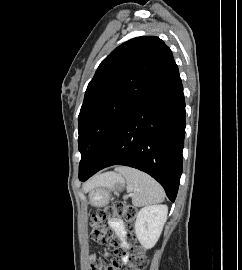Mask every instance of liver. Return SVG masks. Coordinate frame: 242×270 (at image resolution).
Wrapping results in <instances>:
<instances>
[{"label":"liver","mask_w":242,"mask_h":270,"mask_svg":"<svg viewBox=\"0 0 242 270\" xmlns=\"http://www.w3.org/2000/svg\"><path fill=\"white\" fill-rule=\"evenodd\" d=\"M114 173H106L94 177L88 184V187H94L109 181Z\"/></svg>","instance_id":"obj_1"}]
</instances>
